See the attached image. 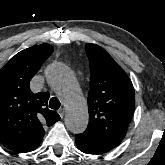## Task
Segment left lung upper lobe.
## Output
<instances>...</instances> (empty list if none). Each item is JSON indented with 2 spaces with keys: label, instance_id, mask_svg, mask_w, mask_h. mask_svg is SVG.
Masks as SVG:
<instances>
[{
  "label": "left lung upper lobe",
  "instance_id": "1",
  "mask_svg": "<svg viewBox=\"0 0 165 165\" xmlns=\"http://www.w3.org/2000/svg\"><path fill=\"white\" fill-rule=\"evenodd\" d=\"M90 62L89 124L86 131L119 145L135 108V94L125 71L100 46L86 44Z\"/></svg>",
  "mask_w": 165,
  "mask_h": 165
}]
</instances>
